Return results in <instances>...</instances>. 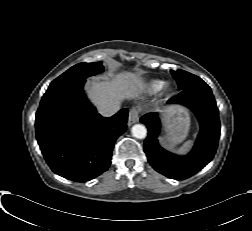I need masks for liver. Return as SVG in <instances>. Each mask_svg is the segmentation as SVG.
I'll list each match as a JSON object with an SVG mask.
<instances>
[{
    "mask_svg": "<svg viewBox=\"0 0 252 231\" xmlns=\"http://www.w3.org/2000/svg\"><path fill=\"white\" fill-rule=\"evenodd\" d=\"M143 89L144 83L138 75L124 71L118 73L112 80L90 81L87 91L99 108L105 104L138 97Z\"/></svg>",
    "mask_w": 252,
    "mask_h": 231,
    "instance_id": "obj_1",
    "label": "liver"
}]
</instances>
